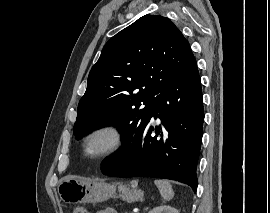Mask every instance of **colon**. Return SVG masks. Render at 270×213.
Returning a JSON list of instances; mask_svg holds the SVG:
<instances>
[{"label":"colon","mask_w":270,"mask_h":213,"mask_svg":"<svg viewBox=\"0 0 270 213\" xmlns=\"http://www.w3.org/2000/svg\"><path fill=\"white\" fill-rule=\"evenodd\" d=\"M73 213H89L86 208L82 206H76L73 210Z\"/></svg>","instance_id":"colon-1"}]
</instances>
